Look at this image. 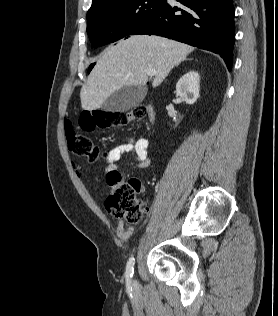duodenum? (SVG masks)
<instances>
[{
	"label": "duodenum",
	"mask_w": 278,
	"mask_h": 316,
	"mask_svg": "<svg viewBox=\"0 0 278 316\" xmlns=\"http://www.w3.org/2000/svg\"><path fill=\"white\" fill-rule=\"evenodd\" d=\"M148 119L151 124L155 122V111L152 106H148Z\"/></svg>",
	"instance_id": "1"
}]
</instances>
